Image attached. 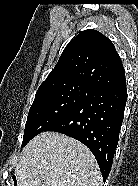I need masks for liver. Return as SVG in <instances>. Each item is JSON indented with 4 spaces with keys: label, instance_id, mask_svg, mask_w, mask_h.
<instances>
[{
    "label": "liver",
    "instance_id": "6515ba94",
    "mask_svg": "<svg viewBox=\"0 0 138 186\" xmlns=\"http://www.w3.org/2000/svg\"><path fill=\"white\" fill-rule=\"evenodd\" d=\"M17 186H102L91 151L57 132H42L23 149L15 168Z\"/></svg>",
    "mask_w": 138,
    "mask_h": 186
}]
</instances>
